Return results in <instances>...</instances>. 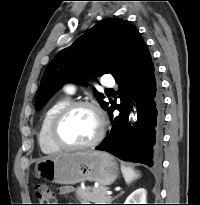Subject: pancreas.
I'll return each instance as SVG.
<instances>
[{
	"instance_id": "obj_1",
	"label": "pancreas",
	"mask_w": 200,
	"mask_h": 205,
	"mask_svg": "<svg viewBox=\"0 0 200 205\" xmlns=\"http://www.w3.org/2000/svg\"><path fill=\"white\" fill-rule=\"evenodd\" d=\"M108 187L98 186L97 188L87 186L85 189L77 188L76 196L80 201H89L94 204H107L113 199L107 195Z\"/></svg>"
}]
</instances>
